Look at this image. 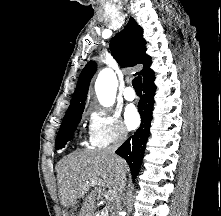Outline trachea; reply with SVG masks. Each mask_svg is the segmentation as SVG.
<instances>
[{"mask_svg": "<svg viewBox=\"0 0 221 216\" xmlns=\"http://www.w3.org/2000/svg\"><path fill=\"white\" fill-rule=\"evenodd\" d=\"M132 85L137 93L142 92V78L141 77H135L132 81Z\"/></svg>", "mask_w": 221, "mask_h": 216, "instance_id": "3493384b", "label": "trachea"}]
</instances>
